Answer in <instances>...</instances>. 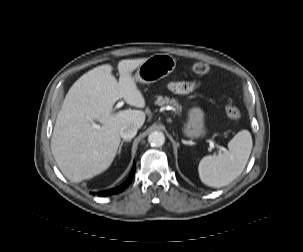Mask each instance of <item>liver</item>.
<instances>
[{
  "label": "liver",
  "instance_id": "1",
  "mask_svg": "<svg viewBox=\"0 0 303 252\" xmlns=\"http://www.w3.org/2000/svg\"><path fill=\"white\" fill-rule=\"evenodd\" d=\"M146 60H121L118 81L111 65L98 66L83 74L69 89L56 118L51 150L61 172L71 182L91 179L108 169L120 144L121 127L143 126V111L127 109L113 113V106L123 98L131 106L145 107L132 72ZM93 121L101 126L93 128Z\"/></svg>",
  "mask_w": 303,
  "mask_h": 252
}]
</instances>
